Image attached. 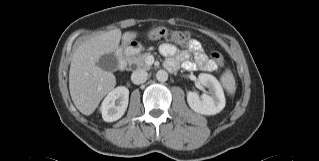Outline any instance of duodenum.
I'll return each instance as SVG.
<instances>
[{"mask_svg": "<svg viewBox=\"0 0 319 161\" xmlns=\"http://www.w3.org/2000/svg\"><path fill=\"white\" fill-rule=\"evenodd\" d=\"M132 47L131 44L127 45L126 47L124 48H121L117 51V54H116V57H117V62H118V65H119V68L121 70H124L125 67L127 66L128 64V61H129V51H130V48Z\"/></svg>", "mask_w": 319, "mask_h": 161, "instance_id": "obj_1", "label": "duodenum"}]
</instances>
